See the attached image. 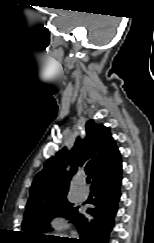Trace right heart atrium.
<instances>
[{"label":"right heart atrium","instance_id":"d8ad5b80","mask_svg":"<svg viewBox=\"0 0 154 243\" xmlns=\"http://www.w3.org/2000/svg\"><path fill=\"white\" fill-rule=\"evenodd\" d=\"M51 225H52V227H54V228H59V227H61V223H60V221H59L58 219H54V220H52V221H51Z\"/></svg>","mask_w":154,"mask_h":243}]
</instances>
